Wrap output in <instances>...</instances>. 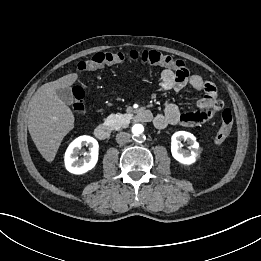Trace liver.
Masks as SVG:
<instances>
[{
	"mask_svg": "<svg viewBox=\"0 0 261 261\" xmlns=\"http://www.w3.org/2000/svg\"><path fill=\"white\" fill-rule=\"evenodd\" d=\"M77 73L45 83L35 92L28 105V130L42 157L52 162L63 138L74 128V115L56 94L57 89L75 83Z\"/></svg>",
	"mask_w": 261,
	"mask_h": 261,
	"instance_id": "6515ba94",
	"label": "liver"
}]
</instances>
